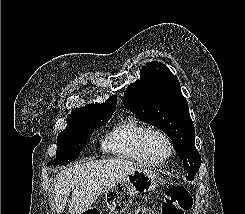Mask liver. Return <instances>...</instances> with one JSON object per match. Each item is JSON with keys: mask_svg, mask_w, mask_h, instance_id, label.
<instances>
[{"mask_svg": "<svg viewBox=\"0 0 245 214\" xmlns=\"http://www.w3.org/2000/svg\"><path fill=\"white\" fill-rule=\"evenodd\" d=\"M138 169L132 161L119 158L90 160L58 173L54 179V205L59 214L66 207L70 191V214H81L95 203L99 195L120 183Z\"/></svg>", "mask_w": 245, "mask_h": 214, "instance_id": "liver-1", "label": "liver"}]
</instances>
